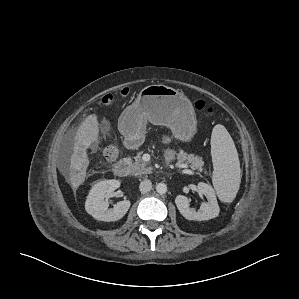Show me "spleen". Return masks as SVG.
Instances as JSON below:
<instances>
[{"instance_id":"1","label":"spleen","mask_w":299,"mask_h":299,"mask_svg":"<svg viewBox=\"0 0 299 299\" xmlns=\"http://www.w3.org/2000/svg\"><path fill=\"white\" fill-rule=\"evenodd\" d=\"M211 155L214 169L212 181L217 195L223 202H232L241 182L240 162L233 139L221 124L212 130Z\"/></svg>"}]
</instances>
